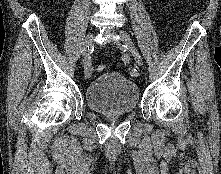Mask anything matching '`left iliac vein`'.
<instances>
[{
    "label": "left iliac vein",
    "mask_w": 221,
    "mask_h": 174,
    "mask_svg": "<svg viewBox=\"0 0 221 174\" xmlns=\"http://www.w3.org/2000/svg\"><path fill=\"white\" fill-rule=\"evenodd\" d=\"M118 35L120 37V40L124 44V46L128 49V51L131 53L135 61L139 64H143V60L141 58V55L139 54L136 46L134 45L133 41L131 40V37L128 33L124 31H118Z\"/></svg>",
    "instance_id": "obj_1"
}]
</instances>
